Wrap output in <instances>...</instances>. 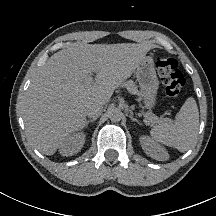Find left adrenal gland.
<instances>
[{
  "label": "left adrenal gland",
  "mask_w": 216,
  "mask_h": 216,
  "mask_svg": "<svg viewBox=\"0 0 216 216\" xmlns=\"http://www.w3.org/2000/svg\"><path fill=\"white\" fill-rule=\"evenodd\" d=\"M130 118H131L132 121L137 122L139 125H142V123L139 120H137L136 118L133 117V113L132 112L130 114Z\"/></svg>",
  "instance_id": "obj_1"
}]
</instances>
